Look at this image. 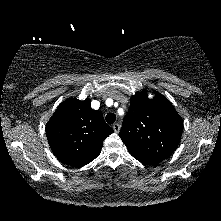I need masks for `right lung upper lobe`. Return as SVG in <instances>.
Returning <instances> with one entry per match:
<instances>
[{
  "instance_id": "1",
  "label": "right lung upper lobe",
  "mask_w": 221,
  "mask_h": 221,
  "mask_svg": "<svg viewBox=\"0 0 221 221\" xmlns=\"http://www.w3.org/2000/svg\"><path fill=\"white\" fill-rule=\"evenodd\" d=\"M113 129L99 110L91 108L89 98H68L62 102L47 123L48 143L64 164L80 167L90 163L101 152L103 141Z\"/></svg>"
}]
</instances>
